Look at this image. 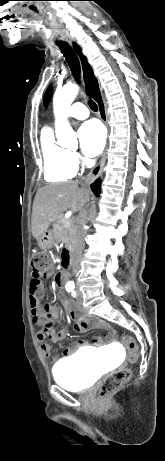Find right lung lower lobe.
Instances as JSON below:
<instances>
[{
	"label": "right lung lower lobe",
	"instance_id": "obj_1",
	"mask_svg": "<svg viewBox=\"0 0 165 461\" xmlns=\"http://www.w3.org/2000/svg\"><path fill=\"white\" fill-rule=\"evenodd\" d=\"M100 184H101V180L98 179L91 185V189L96 196L100 194Z\"/></svg>",
	"mask_w": 165,
	"mask_h": 461
}]
</instances>
